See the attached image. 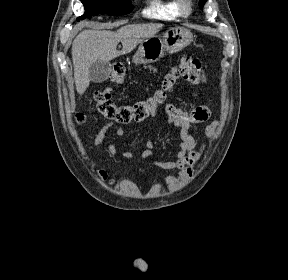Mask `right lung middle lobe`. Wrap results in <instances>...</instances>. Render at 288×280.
<instances>
[{
  "instance_id": "dd1d6c3e",
  "label": "right lung middle lobe",
  "mask_w": 288,
  "mask_h": 280,
  "mask_svg": "<svg viewBox=\"0 0 288 280\" xmlns=\"http://www.w3.org/2000/svg\"><path fill=\"white\" fill-rule=\"evenodd\" d=\"M84 5L85 13L77 18H91L92 15L109 14V15H125L133 10L130 0H81Z\"/></svg>"
}]
</instances>
